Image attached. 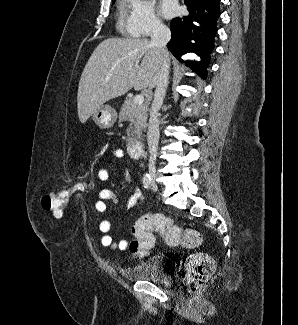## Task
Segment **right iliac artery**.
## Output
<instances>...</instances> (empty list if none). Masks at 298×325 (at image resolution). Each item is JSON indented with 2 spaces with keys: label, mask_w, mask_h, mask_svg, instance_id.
I'll use <instances>...</instances> for the list:
<instances>
[{
  "label": "right iliac artery",
  "mask_w": 298,
  "mask_h": 325,
  "mask_svg": "<svg viewBox=\"0 0 298 325\" xmlns=\"http://www.w3.org/2000/svg\"><path fill=\"white\" fill-rule=\"evenodd\" d=\"M143 186L147 189L151 186V176L149 174H145L143 177Z\"/></svg>",
  "instance_id": "obj_1"
}]
</instances>
